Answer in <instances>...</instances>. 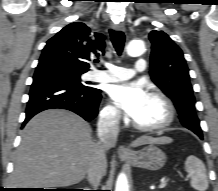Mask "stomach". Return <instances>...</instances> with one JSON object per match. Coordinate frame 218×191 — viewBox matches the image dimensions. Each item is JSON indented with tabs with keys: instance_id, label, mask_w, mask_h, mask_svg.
Masks as SVG:
<instances>
[{
	"instance_id": "obj_1",
	"label": "stomach",
	"mask_w": 218,
	"mask_h": 191,
	"mask_svg": "<svg viewBox=\"0 0 218 191\" xmlns=\"http://www.w3.org/2000/svg\"><path fill=\"white\" fill-rule=\"evenodd\" d=\"M133 166L150 171L160 170L166 163L165 153L154 144L133 152L130 158H122Z\"/></svg>"
}]
</instances>
